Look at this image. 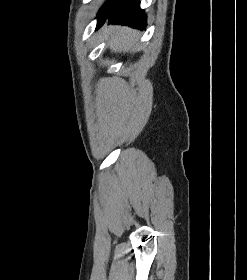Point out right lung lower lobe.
I'll return each instance as SVG.
<instances>
[{
	"label": "right lung lower lobe",
	"mask_w": 247,
	"mask_h": 280,
	"mask_svg": "<svg viewBox=\"0 0 247 280\" xmlns=\"http://www.w3.org/2000/svg\"><path fill=\"white\" fill-rule=\"evenodd\" d=\"M106 19L111 24L128 25L133 28L144 29L146 26V15L140 9L138 0H114L99 18L97 28L101 27Z\"/></svg>",
	"instance_id": "98d812e1"
}]
</instances>
